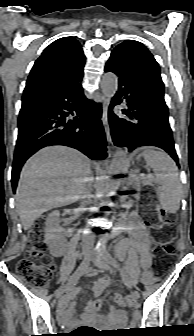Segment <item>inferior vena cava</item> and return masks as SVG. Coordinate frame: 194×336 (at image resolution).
Instances as JSON below:
<instances>
[{
    "label": "inferior vena cava",
    "mask_w": 194,
    "mask_h": 336,
    "mask_svg": "<svg viewBox=\"0 0 194 336\" xmlns=\"http://www.w3.org/2000/svg\"><path fill=\"white\" fill-rule=\"evenodd\" d=\"M87 194H89V192H88ZM86 196H87V195H86ZM84 202H85L86 204H89V203H90V200L87 199V200H85Z\"/></svg>",
    "instance_id": "602c4592"
}]
</instances>
